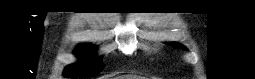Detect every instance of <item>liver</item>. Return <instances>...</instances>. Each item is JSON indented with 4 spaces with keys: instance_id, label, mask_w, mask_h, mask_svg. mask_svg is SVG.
Wrapping results in <instances>:
<instances>
[{
    "instance_id": "6515ba94",
    "label": "liver",
    "mask_w": 255,
    "mask_h": 79,
    "mask_svg": "<svg viewBox=\"0 0 255 79\" xmlns=\"http://www.w3.org/2000/svg\"><path fill=\"white\" fill-rule=\"evenodd\" d=\"M120 79H142L139 76H122Z\"/></svg>"
}]
</instances>
